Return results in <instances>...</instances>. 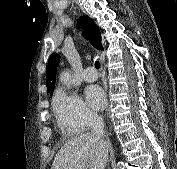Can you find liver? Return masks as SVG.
<instances>
[{
    "mask_svg": "<svg viewBox=\"0 0 177 169\" xmlns=\"http://www.w3.org/2000/svg\"><path fill=\"white\" fill-rule=\"evenodd\" d=\"M110 143L85 133L69 140L57 153L51 169H104Z\"/></svg>",
    "mask_w": 177,
    "mask_h": 169,
    "instance_id": "1",
    "label": "liver"
}]
</instances>
